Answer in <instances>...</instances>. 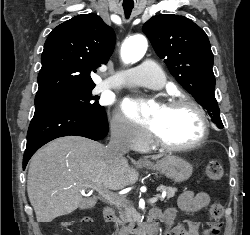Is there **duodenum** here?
Segmentation results:
<instances>
[{
  "label": "duodenum",
  "instance_id": "1",
  "mask_svg": "<svg viewBox=\"0 0 250 235\" xmlns=\"http://www.w3.org/2000/svg\"><path fill=\"white\" fill-rule=\"evenodd\" d=\"M104 219L107 223L114 222V215L113 212L106 208L104 210ZM161 221V215L157 211L150 212L147 223L145 225H139L133 228L131 234L132 235H156L157 233V227L159 222Z\"/></svg>",
  "mask_w": 250,
  "mask_h": 235
}]
</instances>
